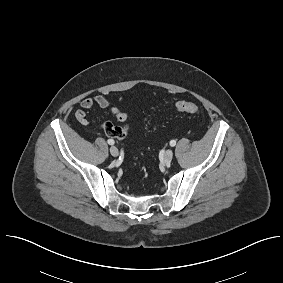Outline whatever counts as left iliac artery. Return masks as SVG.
I'll use <instances>...</instances> for the list:
<instances>
[{
  "label": "left iliac artery",
  "mask_w": 283,
  "mask_h": 283,
  "mask_svg": "<svg viewBox=\"0 0 283 283\" xmlns=\"http://www.w3.org/2000/svg\"><path fill=\"white\" fill-rule=\"evenodd\" d=\"M176 145V141L175 140H171L170 141V146L174 147Z\"/></svg>",
  "instance_id": "44dca946"
}]
</instances>
